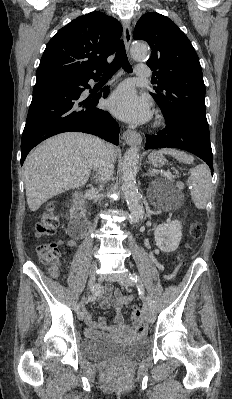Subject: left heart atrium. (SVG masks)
Segmentation results:
<instances>
[{
  "label": "left heart atrium",
  "mask_w": 232,
  "mask_h": 399,
  "mask_svg": "<svg viewBox=\"0 0 232 399\" xmlns=\"http://www.w3.org/2000/svg\"><path fill=\"white\" fill-rule=\"evenodd\" d=\"M108 110L118 119L131 124H144L152 117L147 98L139 97L130 87H120L110 97Z\"/></svg>",
  "instance_id": "39dd6f15"
}]
</instances>
